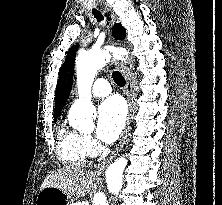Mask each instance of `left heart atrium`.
Returning <instances> with one entry per match:
<instances>
[{"label": "left heart atrium", "instance_id": "obj_1", "mask_svg": "<svg viewBox=\"0 0 222 205\" xmlns=\"http://www.w3.org/2000/svg\"><path fill=\"white\" fill-rule=\"evenodd\" d=\"M126 122V108L118 97L105 100L98 108L96 133L100 140L112 143L120 136Z\"/></svg>", "mask_w": 222, "mask_h": 205}]
</instances>
